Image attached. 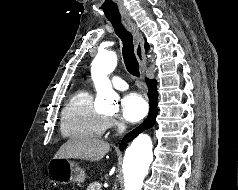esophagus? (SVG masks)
I'll list each match as a JSON object with an SVG mask.
<instances>
[{"label":"esophagus","mask_w":238,"mask_h":190,"mask_svg":"<svg viewBox=\"0 0 238 190\" xmlns=\"http://www.w3.org/2000/svg\"><path fill=\"white\" fill-rule=\"evenodd\" d=\"M125 26L132 32L134 39H135V55L139 62L142 72H145L146 64H147V57L144 49V38L142 33L139 31L138 27L135 23L129 19L125 18L123 20Z\"/></svg>","instance_id":"obj_1"}]
</instances>
